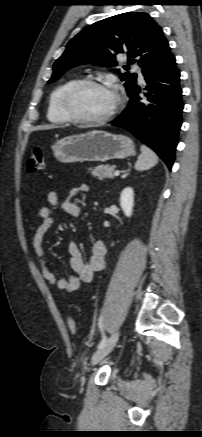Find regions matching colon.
<instances>
[{
	"instance_id": "obj_1",
	"label": "colon",
	"mask_w": 202,
	"mask_h": 437,
	"mask_svg": "<svg viewBox=\"0 0 202 437\" xmlns=\"http://www.w3.org/2000/svg\"><path fill=\"white\" fill-rule=\"evenodd\" d=\"M44 153L41 148L35 147L31 151L29 160H28V170L29 172L40 171L44 168ZM68 329L72 334H75L77 331V324L74 318L70 317L67 322Z\"/></svg>"
}]
</instances>
